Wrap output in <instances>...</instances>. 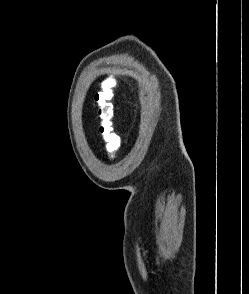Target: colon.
<instances>
[{
    "instance_id": "colon-1",
    "label": "colon",
    "mask_w": 249,
    "mask_h": 294,
    "mask_svg": "<svg viewBox=\"0 0 249 294\" xmlns=\"http://www.w3.org/2000/svg\"><path fill=\"white\" fill-rule=\"evenodd\" d=\"M114 87L107 82L101 84L95 95V102L98 106L100 119V133L107 141V149L115 151L118 147L119 136L114 132Z\"/></svg>"
}]
</instances>
